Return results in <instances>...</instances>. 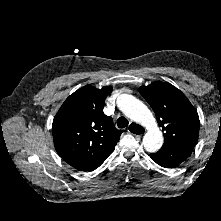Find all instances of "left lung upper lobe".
I'll list each match as a JSON object with an SVG mask.
<instances>
[{
    "label": "left lung upper lobe",
    "instance_id": "obj_1",
    "mask_svg": "<svg viewBox=\"0 0 221 221\" xmlns=\"http://www.w3.org/2000/svg\"><path fill=\"white\" fill-rule=\"evenodd\" d=\"M139 92L155 112L158 125L164 132L163 147L197 142L200 126L198 113L179 89L156 81L141 86Z\"/></svg>",
    "mask_w": 221,
    "mask_h": 221
}]
</instances>
